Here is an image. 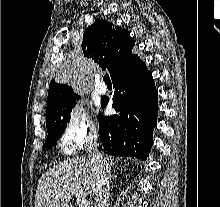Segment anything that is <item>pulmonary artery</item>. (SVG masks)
I'll list each match as a JSON object with an SVG mask.
<instances>
[{
	"instance_id": "e3ab8cb5",
	"label": "pulmonary artery",
	"mask_w": 220,
	"mask_h": 207,
	"mask_svg": "<svg viewBox=\"0 0 220 207\" xmlns=\"http://www.w3.org/2000/svg\"><path fill=\"white\" fill-rule=\"evenodd\" d=\"M95 90L98 94H105L107 92L106 86L104 84H102L101 82H97L96 86H95Z\"/></svg>"
}]
</instances>
